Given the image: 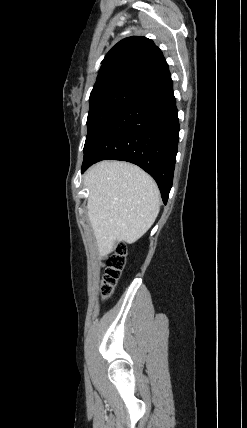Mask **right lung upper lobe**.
<instances>
[{"mask_svg":"<svg viewBox=\"0 0 247 428\" xmlns=\"http://www.w3.org/2000/svg\"><path fill=\"white\" fill-rule=\"evenodd\" d=\"M168 73V64L152 40L129 37L107 53L91 94L113 88L141 92Z\"/></svg>","mask_w":247,"mask_h":428,"instance_id":"obj_1","label":"right lung upper lobe"}]
</instances>
